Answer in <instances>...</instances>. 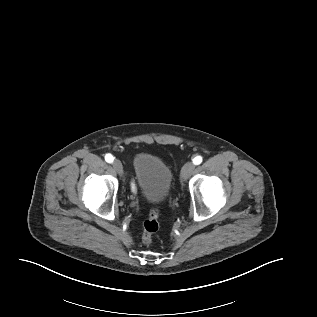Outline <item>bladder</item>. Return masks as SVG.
Instances as JSON below:
<instances>
[{
  "instance_id": "31cf9c89",
  "label": "bladder",
  "mask_w": 317,
  "mask_h": 317,
  "mask_svg": "<svg viewBox=\"0 0 317 317\" xmlns=\"http://www.w3.org/2000/svg\"><path fill=\"white\" fill-rule=\"evenodd\" d=\"M133 169L136 184L146 200L161 202L168 197L173 173L164 161L149 153H138L133 158Z\"/></svg>"
}]
</instances>
